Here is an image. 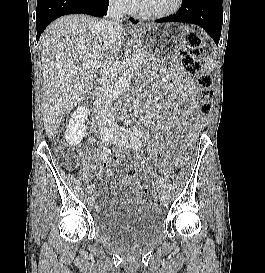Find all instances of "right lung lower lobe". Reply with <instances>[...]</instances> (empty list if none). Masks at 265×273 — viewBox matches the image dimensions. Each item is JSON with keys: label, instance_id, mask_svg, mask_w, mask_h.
Here are the masks:
<instances>
[{"label": "right lung lower lobe", "instance_id": "right-lung-lower-lobe-1", "mask_svg": "<svg viewBox=\"0 0 265 273\" xmlns=\"http://www.w3.org/2000/svg\"><path fill=\"white\" fill-rule=\"evenodd\" d=\"M109 0H37V41L44 29L56 18L68 14H89L103 17L107 14Z\"/></svg>", "mask_w": 265, "mask_h": 273}]
</instances>
